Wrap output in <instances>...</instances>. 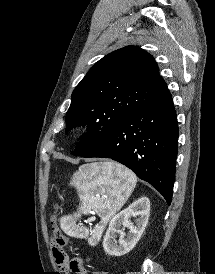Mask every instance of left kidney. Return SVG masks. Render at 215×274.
Instances as JSON below:
<instances>
[{
    "label": "left kidney",
    "mask_w": 215,
    "mask_h": 274,
    "mask_svg": "<svg viewBox=\"0 0 215 274\" xmlns=\"http://www.w3.org/2000/svg\"><path fill=\"white\" fill-rule=\"evenodd\" d=\"M150 213V201L147 197H141L129 207L115 215L103 238V249L108 255L122 256L131 251L141 238L148 223ZM132 217L136 219V225L131 222ZM123 228H128L127 235ZM119 240L117 241V237ZM126 236V237H125Z\"/></svg>",
    "instance_id": "left-kidney-1"
}]
</instances>
